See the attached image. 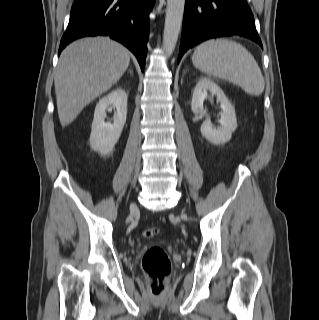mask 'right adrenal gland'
<instances>
[{
  "mask_svg": "<svg viewBox=\"0 0 319 320\" xmlns=\"http://www.w3.org/2000/svg\"><path fill=\"white\" fill-rule=\"evenodd\" d=\"M131 75H133V70L130 71Z\"/></svg>",
  "mask_w": 319,
  "mask_h": 320,
  "instance_id": "obj_1",
  "label": "right adrenal gland"
}]
</instances>
